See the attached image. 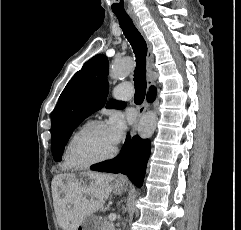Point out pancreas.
I'll use <instances>...</instances> for the list:
<instances>
[{
	"instance_id": "pancreas-1",
	"label": "pancreas",
	"mask_w": 241,
	"mask_h": 230,
	"mask_svg": "<svg viewBox=\"0 0 241 230\" xmlns=\"http://www.w3.org/2000/svg\"><path fill=\"white\" fill-rule=\"evenodd\" d=\"M100 230H115V227L112 222H109L107 219H104V221H102L100 224Z\"/></svg>"
}]
</instances>
